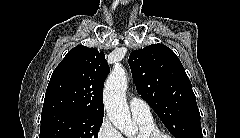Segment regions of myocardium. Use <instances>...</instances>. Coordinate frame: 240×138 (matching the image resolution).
<instances>
[{
	"label": "myocardium",
	"mask_w": 240,
	"mask_h": 138,
	"mask_svg": "<svg viewBox=\"0 0 240 138\" xmlns=\"http://www.w3.org/2000/svg\"><path fill=\"white\" fill-rule=\"evenodd\" d=\"M138 138H168V137L161 130L152 129L139 133Z\"/></svg>",
	"instance_id": "1"
}]
</instances>
